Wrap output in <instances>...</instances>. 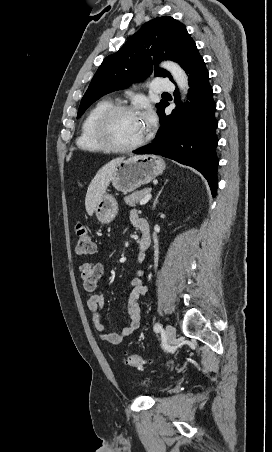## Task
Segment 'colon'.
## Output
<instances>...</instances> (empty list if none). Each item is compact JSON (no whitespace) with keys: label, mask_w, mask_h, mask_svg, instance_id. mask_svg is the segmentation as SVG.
<instances>
[{"label":"colon","mask_w":272,"mask_h":452,"mask_svg":"<svg viewBox=\"0 0 272 452\" xmlns=\"http://www.w3.org/2000/svg\"><path fill=\"white\" fill-rule=\"evenodd\" d=\"M77 243L75 252L78 256H89L95 252V244L89 230L84 224L76 226ZM126 364L132 367L141 368L147 364V361L138 354H128Z\"/></svg>","instance_id":"1"}]
</instances>
